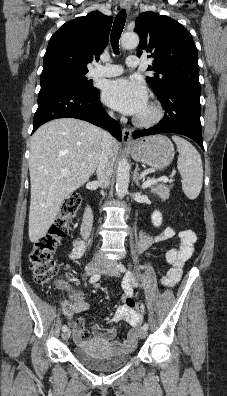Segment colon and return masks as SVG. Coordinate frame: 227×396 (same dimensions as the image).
<instances>
[{
    "instance_id": "1",
    "label": "colon",
    "mask_w": 227,
    "mask_h": 396,
    "mask_svg": "<svg viewBox=\"0 0 227 396\" xmlns=\"http://www.w3.org/2000/svg\"><path fill=\"white\" fill-rule=\"evenodd\" d=\"M81 203L78 195L74 194L65 199L61 211L48 233L40 238L30 253V261L33 268L35 282L39 286H46L52 282L58 272V263L54 259V253L61 239L68 233V221L74 217ZM127 304L137 312L143 313L144 306L141 303L129 299ZM65 312L68 314L70 308L64 305Z\"/></svg>"
}]
</instances>
